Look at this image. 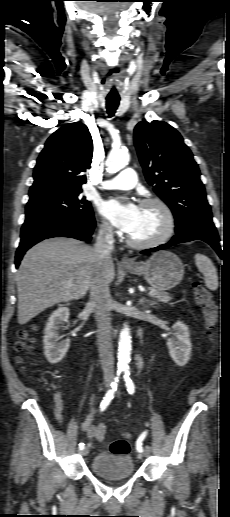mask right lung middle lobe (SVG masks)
Segmentation results:
<instances>
[{
    "instance_id": "obj_1",
    "label": "right lung middle lobe",
    "mask_w": 230,
    "mask_h": 517,
    "mask_svg": "<svg viewBox=\"0 0 230 517\" xmlns=\"http://www.w3.org/2000/svg\"><path fill=\"white\" fill-rule=\"evenodd\" d=\"M81 192L82 190H77L29 200L26 205V218L48 214L69 217L92 216L91 204L85 197H80Z\"/></svg>"
}]
</instances>
